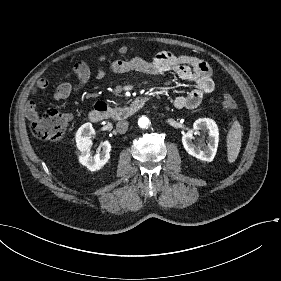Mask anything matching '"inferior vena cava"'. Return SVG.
Here are the masks:
<instances>
[{"label": "inferior vena cava", "mask_w": 281, "mask_h": 281, "mask_svg": "<svg viewBox=\"0 0 281 281\" xmlns=\"http://www.w3.org/2000/svg\"><path fill=\"white\" fill-rule=\"evenodd\" d=\"M128 125L129 123L126 120L118 121L116 124L117 132L120 134H125L126 131L128 130Z\"/></svg>", "instance_id": "obj_1"}]
</instances>
